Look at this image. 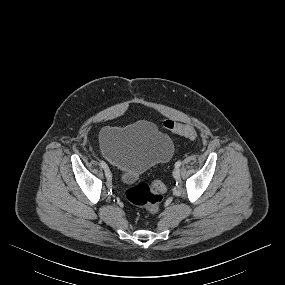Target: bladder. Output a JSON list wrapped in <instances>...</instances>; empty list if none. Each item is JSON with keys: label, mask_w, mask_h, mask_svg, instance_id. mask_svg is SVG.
Returning <instances> with one entry per match:
<instances>
[{"label": "bladder", "mask_w": 285, "mask_h": 285, "mask_svg": "<svg viewBox=\"0 0 285 285\" xmlns=\"http://www.w3.org/2000/svg\"><path fill=\"white\" fill-rule=\"evenodd\" d=\"M100 145L124 185L133 184L142 173L169 160L174 151L171 138L145 120L126 127L103 128Z\"/></svg>", "instance_id": "bladder-1"}]
</instances>
